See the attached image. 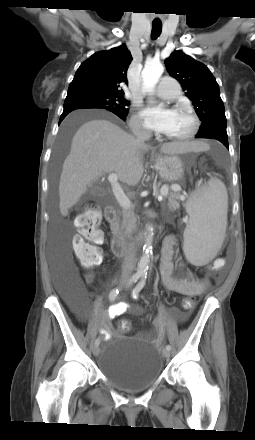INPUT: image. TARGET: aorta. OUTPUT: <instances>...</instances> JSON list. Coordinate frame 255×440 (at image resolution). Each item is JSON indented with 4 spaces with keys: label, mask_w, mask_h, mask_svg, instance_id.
<instances>
[{
    "label": "aorta",
    "mask_w": 255,
    "mask_h": 440,
    "mask_svg": "<svg viewBox=\"0 0 255 440\" xmlns=\"http://www.w3.org/2000/svg\"><path fill=\"white\" fill-rule=\"evenodd\" d=\"M164 67L159 61L147 62L142 70L143 89L147 92H152L163 74ZM153 228L148 226L149 234L145 237V244L143 247V255L138 263V273L146 274L150 263V256L152 254L153 242Z\"/></svg>",
    "instance_id": "aorta-1"
}]
</instances>
